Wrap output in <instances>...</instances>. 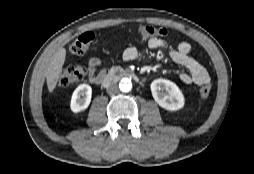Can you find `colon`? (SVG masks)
<instances>
[{
    "label": "colon",
    "mask_w": 254,
    "mask_h": 174,
    "mask_svg": "<svg viewBox=\"0 0 254 174\" xmlns=\"http://www.w3.org/2000/svg\"><path fill=\"white\" fill-rule=\"evenodd\" d=\"M168 32L165 28L144 25L138 28L137 36L141 40L152 37H165ZM93 35L89 32L80 35L70 46V52L75 56L83 55L91 47ZM85 76V70L79 65L64 68L58 79V86L65 87L70 84L81 81ZM210 84H205L200 89L201 99H206L211 93Z\"/></svg>",
    "instance_id": "obj_1"
}]
</instances>
